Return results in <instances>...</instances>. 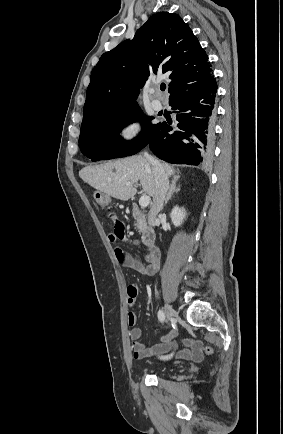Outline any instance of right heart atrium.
Instances as JSON below:
<instances>
[{"label": "right heart atrium", "instance_id": "right-heart-atrium-1", "mask_svg": "<svg viewBox=\"0 0 283 434\" xmlns=\"http://www.w3.org/2000/svg\"><path fill=\"white\" fill-rule=\"evenodd\" d=\"M143 134V121L137 115H129L124 118L116 132L117 140L122 145H130L136 142Z\"/></svg>", "mask_w": 283, "mask_h": 434}]
</instances>
